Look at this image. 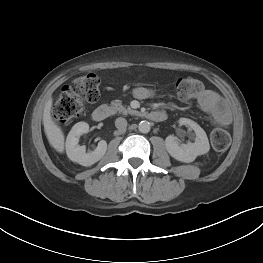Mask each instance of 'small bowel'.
<instances>
[{
  "label": "small bowel",
  "instance_id": "obj_1",
  "mask_svg": "<svg viewBox=\"0 0 263 263\" xmlns=\"http://www.w3.org/2000/svg\"><path fill=\"white\" fill-rule=\"evenodd\" d=\"M154 91L146 87H137L133 90V95L137 99H148L154 96ZM199 107L209 114L213 122L219 126H228L231 117L226 109L225 103L219 94L213 90H205L197 99Z\"/></svg>",
  "mask_w": 263,
  "mask_h": 263
}]
</instances>
